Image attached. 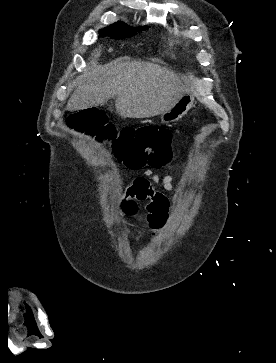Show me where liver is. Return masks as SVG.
Instances as JSON below:
<instances>
[{"label":"liver","mask_w":276,"mask_h":363,"mask_svg":"<svg viewBox=\"0 0 276 363\" xmlns=\"http://www.w3.org/2000/svg\"><path fill=\"white\" fill-rule=\"evenodd\" d=\"M101 48L93 55L100 54ZM67 110L103 105L117 97L116 111L124 118H148L167 111L185 92L182 80L172 71L154 63L118 59L103 73L81 76Z\"/></svg>","instance_id":"6515ba94"}]
</instances>
